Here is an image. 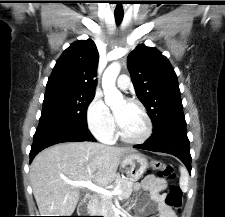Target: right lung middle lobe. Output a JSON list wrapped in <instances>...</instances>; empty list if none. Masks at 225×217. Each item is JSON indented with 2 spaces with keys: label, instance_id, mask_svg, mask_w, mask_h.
I'll return each instance as SVG.
<instances>
[{
  "label": "right lung middle lobe",
  "instance_id": "1",
  "mask_svg": "<svg viewBox=\"0 0 225 217\" xmlns=\"http://www.w3.org/2000/svg\"><path fill=\"white\" fill-rule=\"evenodd\" d=\"M94 95L69 92L45 93L40 120H55L77 126H87V107Z\"/></svg>",
  "mask_w": 225,
  "mask_h": 217
}]
</instances>
